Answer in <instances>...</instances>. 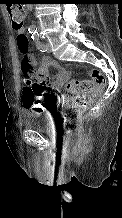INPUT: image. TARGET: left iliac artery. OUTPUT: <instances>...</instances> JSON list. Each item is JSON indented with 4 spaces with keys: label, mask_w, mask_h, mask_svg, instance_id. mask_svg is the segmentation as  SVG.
Masks as SVG:
<instances>
[{
    "label": "left iliac artery",
    "mask_w": 122,
    "mask_h": 218,
    "mask_svg": "<svg viewBox=\"0 0 122 218\" xmlns=\"http://www.w3.org/2000/svg\"><path fill=\"white\" fill-rule=\"evenodd\" d=\"M32 39L36 44V47L41 51V52H46V46L40 41L39 33L35 32L32 34Z\"/></svg>",
    "instance_id": "1"
}]
</instances>
